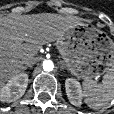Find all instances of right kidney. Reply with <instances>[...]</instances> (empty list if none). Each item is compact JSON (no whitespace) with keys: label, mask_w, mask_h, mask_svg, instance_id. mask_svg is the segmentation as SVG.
Segmentation results:
<instances>
[{"label":"right kidney","mask_w":114,"mask_h":114,"mask_svg":"<svg viewBox=\"0 0 114 114\" xmlns=\"http://www.w3.org/2000/svg\"><path fill=\"white\" fill-rule=\"evenodd\" d=\"M28 85V75L20 73L13 76L1 89L0 101L13 102L22 97Z\"/></svg>","instance_id":"1"}]
</instances>
